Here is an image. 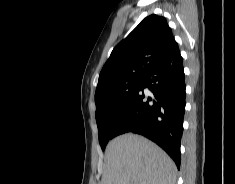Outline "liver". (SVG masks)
Instances as JSON below:
<instances>
[{"instance_id":"6515ba94","label":"liver","mask_w":235,"mask_h":184,"mask_svg":"<svg viewBox=\"0 0 235 184\" xmlns=\"http://www.w3.org/2000/svg\"><path fill=\"white\" fill-rule=\"evenodd\" d=\"M106 158L101 184H176L173 160L143 136L114 138L106 148Z\"/></svg>"}]
</instances>
